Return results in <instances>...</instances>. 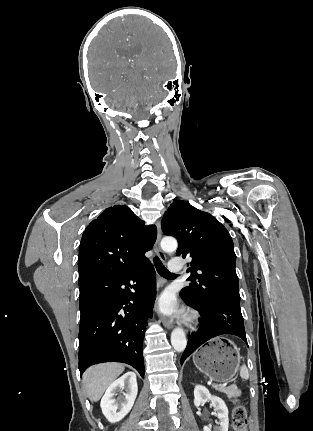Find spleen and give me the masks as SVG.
I'll return each mask as SVG.
<instances>
[{"label": "spleen", "mask_w": 313, "mask_h": 431, "mask_svg": "<svg viewBox=\"0 0 313 431\" xmlns=\"http://www.w3.org/2000/svg\"><path fill=\"white\" fill-rule=\"evenodd\" d=\"M240 376L243 380H247L249 378V372L245 365H242L240 368Z\"/></svg>", "instance_id": "spleen-1"}]
</instances>
